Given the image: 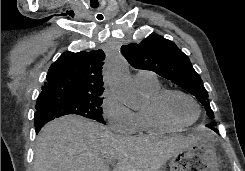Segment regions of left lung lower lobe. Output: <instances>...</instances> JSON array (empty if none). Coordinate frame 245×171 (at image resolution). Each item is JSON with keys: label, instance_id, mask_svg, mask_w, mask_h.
<instances>
[{"label": "left lung lower lobe", "instance_id": "obj_1", "mask_svg": "<svg viewBox=\"0 0 245 171\" xmlns=\"http://www.w3.org/2000/svg\"><path fill=\"white\" fill-rule=\"evenodd\" d=\"M206 126H207V127H211V125H210V124H207ZM211 129H212L213 131H215L216 133H218V134H219V131H218L216 128L212 127Z\"/></svg>", "mask_w": 245, "mask_h": 171}]
</instances>
